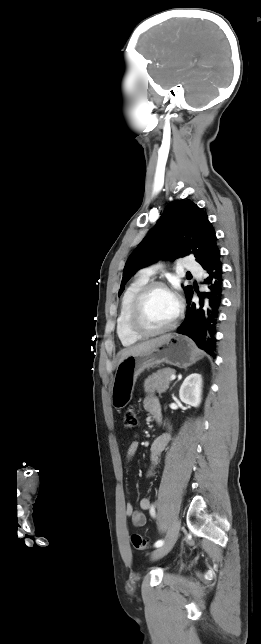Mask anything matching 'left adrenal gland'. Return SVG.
Here are the masks:
<instances>
[{"label": "left adrenal gland", "instance_id": "left-adrenal-gland-1", "mask_svg": "<svg viewBox=\"0 0 261 644\" xmlns=\"http://www.w3.org/2000/svg\"><path fill=\"white\" fill-rule=\"evenodd\" d=\"M177 382H178V381H176V382L173 384V386H174ZM173 386H172V387H173ZM172 387H171V389H172Z\"/></svg>", "mask_w": 261, "mask_h": 644}]
</instances>
